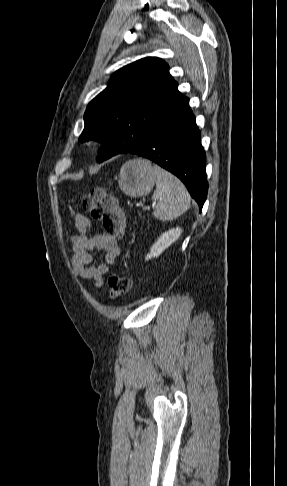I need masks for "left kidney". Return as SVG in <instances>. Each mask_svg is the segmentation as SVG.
<instances>
[{"mask_svg":"<svg viewBox=\"0 0 287 486\" xmlns=\"http://www.w3.org/2000/svg\"><path fill=\"white\" fill-rule=\"evenodd\" d=\"M182 234V229L179 227L170 229L169 231L163 233L154 245L150 249V253L147 254L146 260L152 257H158L163 253L172 243H174Z\"/></svg>","mask_w":287,"mask_h":486,"instance_id":"left-kidney-1","label":"left kidney"}]
</instances>
